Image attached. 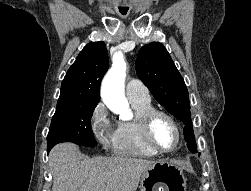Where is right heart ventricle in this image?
Listing matches in <instances>:
<instances>
[{
    "instance_id": "e07e8e85",
    "label": "right heart ventricle",
    "mask_w": 251,
    "mask_h": 191,
    "mask_svg": "<svg viewBox=\"0 0 251 191\" xmlns=\"http://www.w3.org/2000/svg\"><path fill=\"white\" fill-rule=\"evenodd\" d=\"M136 115L128 121L118 123L116 129L115 151L121 155L137 156L142 158L155 157L157 154L150 149L142 134L141 116L145 112L153 109L150 99L130 100Z\"/></svg>"
}]
</instances>
